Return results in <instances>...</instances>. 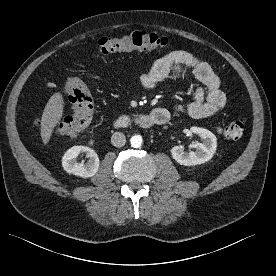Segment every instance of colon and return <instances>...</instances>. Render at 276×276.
Listing matches in <instances>:
<instances>
[{
	"label": "colon",
	"mask_w": 276,
	"mask_h": 276,
	"mask_svg": "<svg viewBox=\"0 0 276 276\" xmlns=\"http://www.w3.org/2000/svg\"><path fill=\"white\" fill-rule=\"evenodd\" d=\"M168 45V39L145 31H132L116 37H103L97 42L96 55H105L132 50H159ZM72 112L64 118L55 131L71 137L87 128L94 117V100L86 83L79 77H70L66 82ZM245 120L237 118L219 128V133L228 139L240 138L245 130Z\"/></svg>",
	"instance_id": "1"
}]
</instances>
